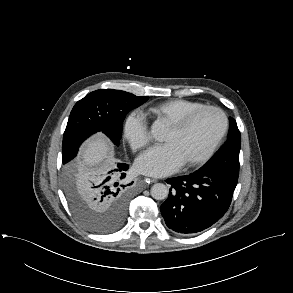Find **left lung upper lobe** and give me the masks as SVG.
Instances as JSON below:
<instances>
[{
  "mask_svg": "<svg viewBox=\"0 0 293 293\" xmlns=\"http://www.w3.org/2000/svg\"><path fill=\"white\" fill-rule=\"evenodd\" d=\"M230 127L227 141L214 154V156L199 170V172H212L221 174L233 181L238 180L239 176V152L241 146L240 131L236 121L229 118Z\"/></svg>",
  "mask_w": 293,
  "mask_h": 293,
  "instance_id": "5c2ea615",
  "label": "left lung upper lobe"
}]
</instances>
